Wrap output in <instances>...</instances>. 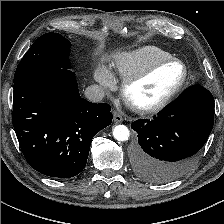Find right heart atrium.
<instances>
[{
    "mask_svg": "<svg viewBox=\"0 0 224 224\" xmlns=\"http://www.w3.org/2000/svg\"><path fill=\"white\" fill-rule=\"evenodd\" d=\"M94 78L96 82L104 88H109L114 85V77L112 73L105 67L98 68L95 71Z\"/></svg>",
    "mask_w": 224,
    "mask_h": 224,
    "instance_id": "d8ad5b80",
    "label": "right heart atrium"
}]
</instances>
